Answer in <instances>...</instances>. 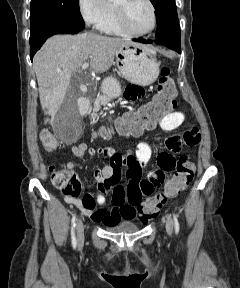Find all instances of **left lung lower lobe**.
Listing matches in <instances>:
<instances>
[{
  "label": "left lung lower lobe",
  "mask_w": 240,
  "mask_h": 288,
  "mask_svg": "<svg viewBox=\"0 0 240 288\" xmlns=\"http://www.w3.org/2000/svg\"><path fill=\"white\" fill-rule=\"evenodd\" d=\"M134 41L145 43V44H151L152 42H155L157 44L165 45L171 49H174L178 53H181L180 37L163 36V37L156 38L154 41L143 40V39H134Z\"/></svg>",
  "instance_id": "obj_1"
}]
</instances>
